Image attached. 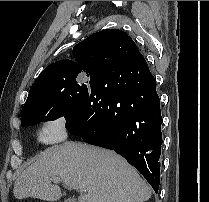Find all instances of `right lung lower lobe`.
Returning a JSON list of instances; mask_svg holds the SVG:
<instances>
[{
  "label": "right lung lower lobe",
  "instance_id": "98d812e1",
  "mask_svg": "<svg viewBox=\"0 0 209 202\" xmlns=\"http://www.w3.org/2000/svg\"><path fill=\"white\" fill-rule=\"evenodd\" d=\"M161 124L156 81L143 57L131 60L125 74L113 72L97 78L82 110L65 126L84 142L122 155L157 193Z\"/></svg>",
  "mask_w": 209,
  "mask_h": 202
}]
</instances>
